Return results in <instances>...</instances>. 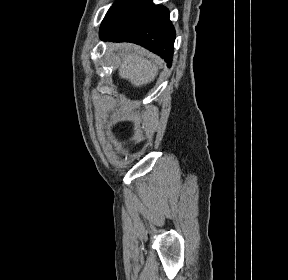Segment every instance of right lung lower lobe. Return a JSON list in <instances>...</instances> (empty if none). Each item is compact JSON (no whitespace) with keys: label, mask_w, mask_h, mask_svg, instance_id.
I'll list each match as a JSON object with an SVG mask.
<instances>
[{"label":"right lung lower lobe","mask_w":288,"mask_h":280,"mask_svg":"<svg viewBox=\"0 0 288 280\" xmlns=\"http://www.w3.org/2000/svg\"><path fill=\"white\" fill-rule=\"evenodd\" d=\"M175 29L169 11L151 0H125L110 9L100 28L104 41L139 44L172 64Z\"/></svg>","instance_id":"right-lung-lower-lobe-1"}]
</instances>
